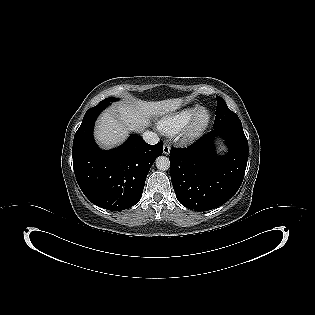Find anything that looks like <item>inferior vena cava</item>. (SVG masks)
<instances>
[{
	"mask_svg": "<svg viewBox=\"0 0 315 315\" xmlns=\"http://www.w3.org/2000/svg\"><path fill=\"white\" fill-rule=\"evenodd\" d=\"M143 139L145 142L148 144L154 145L159 142V137L156 133L151 132V131H146L142 135Z\"/></svg>",
	"mask_w": 315,
	"mask_h": 315,
	"instance_id": "602c4592",
	"label": "inferior vena cava"
}]
</instances>
